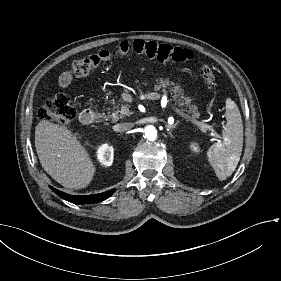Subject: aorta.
Listing matches in <instances>:
<instances>
[{
    "label": "aorta",
    "instance_id": "obj_1",
    "mask_svg": "<svg viewBox=\"0 0 281 281\" xmlns=\"http://www.w3.org/2000/svg\"><path fill=\"white\" fill-rule=\"evenodd\" d=\"M143 132H144V137L147 138L149 141H154L157 137V130L152 125L146 126Z\"/></svg>",
    "mask_w": 281,
    "mask_h": 281
}]
</instances>
